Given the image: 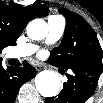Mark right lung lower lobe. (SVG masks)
Returning <instances> with one entry per match:
<instances>
[{"label":"right lung lower lobe","instance_id":"98d812e1","mask_svg":"<svg viewBox=\"0 0 103 103\" xmlns=\"http://www.w3.org/2000/svg\"><path fill=\"white\" fill-rule=\"evenodd\" d=\"M35 75L36 70L26 62L22 67L7 70L0 65V103H14L21 85Z\"/></svg>","mask_w":103,"mask_h":103}]
</instances>
